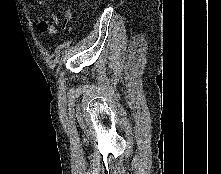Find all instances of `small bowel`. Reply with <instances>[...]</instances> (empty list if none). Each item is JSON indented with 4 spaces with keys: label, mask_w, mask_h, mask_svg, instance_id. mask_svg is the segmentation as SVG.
I'll return each instance as SVG.
<instances>
[{
    "label": "small bowel",
    "mask_w": 221,
    "mask_h": 174,
    "mask_svg": "<svg viewBox=\"0 0 221 174\" xmlns=\"http://www.w3.org/2000/svg\"><path fill=\"white\" fill-rule=\"evenodd\" d=\"M36 3H40V0H33L32 7L35 8ZM71 17H72L71 12L69 10H66L64 12L63 19L61 22L56 17H53V22H52L48 20L40 11L37 12V19L39 21V28L41 32L49 33L51 35H55L57 33V28L55 27L54 23L55 24L61 23V28L63 30H66L70 23Z\"/></svg>",
    "instance_id": "small-bowel-1"
}]
</instances>
